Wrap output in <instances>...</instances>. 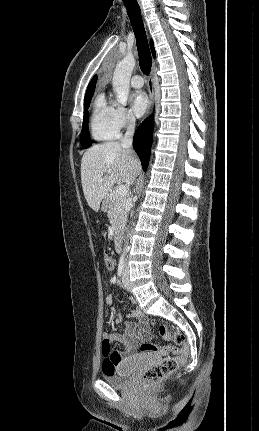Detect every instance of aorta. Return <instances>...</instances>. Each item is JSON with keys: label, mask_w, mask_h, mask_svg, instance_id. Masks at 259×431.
<instances>
[{"label": "aorta", "mask_w": 259, "mask_h": 431, "mask_svg": "<svg viewBox=\"0 0 259 431\" xmlns=\"http://www.w3.org/2000/svg\"><path fill=\"white\" fill-rule=\"evenodd\" d=\"M135 67V58L133 55H126L116 66L112 85L116 93V101L125 106L129 95V82ZM128 237V235H127Z\"/></svg>", "instance_id": "1"}]
</instances>
